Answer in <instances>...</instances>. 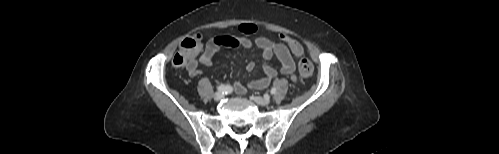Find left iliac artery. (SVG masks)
<instances>
[{
  "instance_id": "1",
  "label": "left iliac artery",
  "mask_w": 499,
  "mask_h": 154,
  "mask_svg": "<svg viewBox=\"0 0 499 154\" xmlns=\"http://www.w3.org/2000/svg\"><path fill=\"white\" fill-rule=\"evenodd\" d=\"M276 92H277L276 88H272V89L270 90V93H271L272 95H273V94H275Z\"/></svg>"
}]
</instances>
